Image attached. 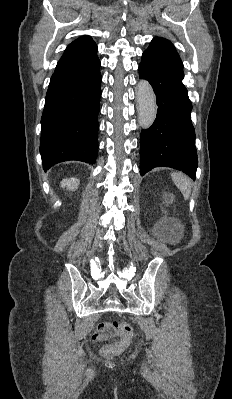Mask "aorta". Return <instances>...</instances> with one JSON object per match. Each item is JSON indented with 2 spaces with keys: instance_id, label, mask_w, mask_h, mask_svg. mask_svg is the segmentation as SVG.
Segmentation results:
<instances>
[{
  "instance_id": "762f6f07",
  "label": "aorta",
  "mask_w": 232,
  "mask_h": 399,
  "mask_svg": "<svg viewBox=\"0 0 232 399\" xmlns=\"http://www.w3.org/2000/svg\"><path fill=\"white\" fill-rule=\"evenodd\" d=\"M137 102L139 124L147 129L153 124L157 113L155 94L147 80H140L138 83Z\"/></svg>"
}]
</instances>
